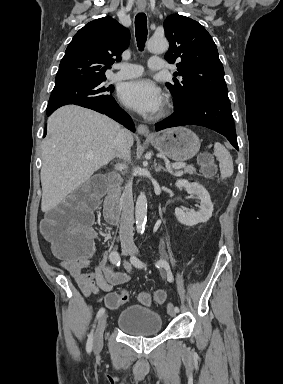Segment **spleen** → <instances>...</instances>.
Listing matches in <instances>:
<instances>
[{"label":"spleen","mask_w":283,"mask_h":384,"mask_svg":"<svg viewBox=\"0 0 283 384\" xmlns=\"http://www.w3.org/2000/svg\"><path fill=\"white\" fill-rule=\"evenodd\" d=\"M214 154L217 160H219V168L222 180H225V178H230L234 172V166L233 160L228 150H226L222 144L216 142V144H214Z\"/></svg>","instance_id":"1"}]
</instances>
